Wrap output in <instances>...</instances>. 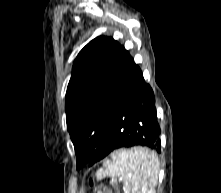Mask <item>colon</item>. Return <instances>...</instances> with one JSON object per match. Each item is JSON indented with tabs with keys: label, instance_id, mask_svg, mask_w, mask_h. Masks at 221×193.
<instances>
[{
	"label": "colon",
	"instance_id": "1",
	"mask_svg": "<svg viewBox=\"0 0 221 193\" xmlns=\"http://www.w3.org/2000/svg\"><path fill=\"white\" fill-rule=\"evenodd\" d=\"M90 185L93 187L94 193H105V189L102 186H96L93 179H91Z\"/></svg>",
	"mask_w": 221,
	"mask_h": 193
}]
</instances>
